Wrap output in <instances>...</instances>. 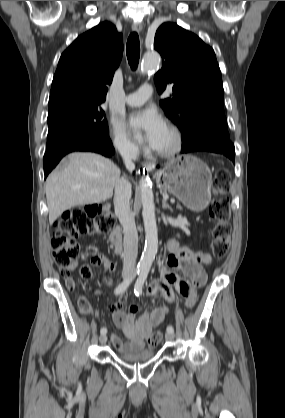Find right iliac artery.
<instances>
[{"mask_svg":"<svg viewBox=\"0 0 285 418\" xmlns=\"http://www.w3.org/2000/svg\"><path fill=\"white\" fill-rule=\"evenodd\" d=\"M142 270H136L134 273H133V275L131 276V277H129V278H127V279H125L123 282H121L117 287H116V289H115V291H114V293L116 294V295H118V294H120V293H122V292H124L128 287H129V285H130V283L132 282V280L134 279V277L137 275V274H140V272H141ZM100 333L101 334H106L107 333V329L105 328V327H102L101 328V330H100Z\"/></svg>","mask_w":285,"mask_h":418,"instance_id":"82829eb1","label":"right iliac artery"}]
</instances>
